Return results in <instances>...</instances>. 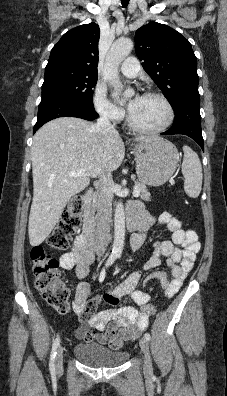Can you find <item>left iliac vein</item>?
Wrapping results in <instances>:
<instances>
[{
	"label": "left iliac vein",
	"mask_w": 227,
	"mask_h": 396,
	"mask_svg": "<svg viewBox=\"0 0 227 396\" xmlns=\"http://www.w3.org/2000/svg\"><path fill=\"white\" fill-rule=\"evenodd\" d=\"M139 345L141 347L142 352L144 353V370L145 372H149L151 370V359H150V353H149V343L148 340L143 337L139 341Z\"/></svg>",
	"instance_id": "4c4485c4"
}]
</instances>
